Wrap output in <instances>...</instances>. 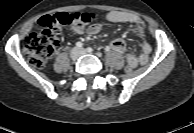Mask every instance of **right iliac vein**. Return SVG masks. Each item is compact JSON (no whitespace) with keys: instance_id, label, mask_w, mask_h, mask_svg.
<instances>
[{"instance_id":"right-iliac-vein-1","label":"right iliac vein","mask_w":194,"mask_h":133,"mask_svg":"<svg viewBox=\"0 0 194 133\" xmlns=\"http://www.w3.org/2000/svg\"><path fill=\"white\" fill-rule=\"evenodd\" d=\"M80 56V51L77 48L72 49L70 53V58L72 61H76Z\"/></svg>"}]
</instances>
